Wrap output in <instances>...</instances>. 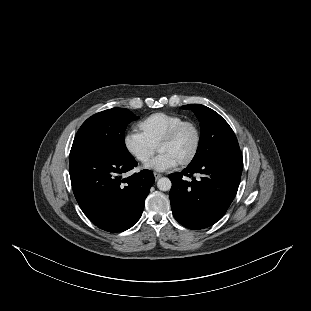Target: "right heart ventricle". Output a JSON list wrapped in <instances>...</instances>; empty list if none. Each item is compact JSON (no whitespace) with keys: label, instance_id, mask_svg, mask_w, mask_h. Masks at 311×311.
<instances>
[{"label":"right heart ventricle","instance_id":"obj_1","mask_svg":"<svg viewBox=\"0 0 311 311\" xmlns=\"http://www.w3.org/2000/svg\"><path fill=\"white\" fill-rule=\"evenodd\" d=\"M184 116L166 112L151 113L137 122L142 136L146 141L157 147L159 141L181 120Z\"/></svg>","mask_w":311,"mask_h":311}]
</instances>
